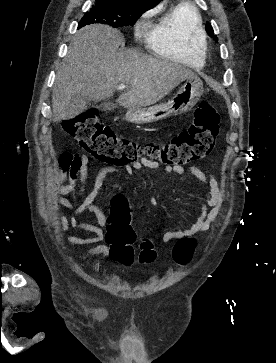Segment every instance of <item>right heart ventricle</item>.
<instances>
[{"label":"right heart ventricle","mask_w":276,"mask_h":363,"mask_svg":"<svg viewBox=\"0 0 276 363\" xmlns=\"http://www.w3.org/2000/svg\"><path fill=\"white\" fill-rule=\"evenodd\" d=\"M148 44L152 52L164 59L193 68L205 64L206 41L198 11L181 3L166 11L153 27Z\"/></svg>","instance_id":"obj_1"}]
</instances>
